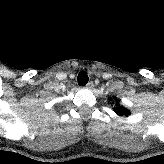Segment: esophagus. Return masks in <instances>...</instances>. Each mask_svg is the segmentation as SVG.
Wrapping results in <instances>:
<instances>
[{
	"mask_svg": "<svg viewBox=\"0 0 164 164\" xmlns=\"http://www.w3.org/2000/svg\"><path fill=\"white\" fill-rule=\"evenodd\" d=\"M94 87V83L92 81L88 82L86 85L87 89H92Z\"/></svg>",
	"mask_w": 164,
	"mask_h": 164,
	"instance_id": "1",
	"label": "esophagus"
}]
</instances>
